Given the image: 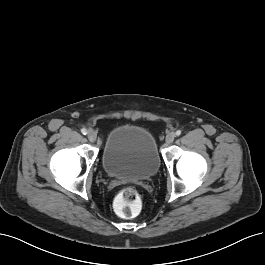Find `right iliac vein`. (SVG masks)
Masks as SVG:
<instances>
[{
  "label": "right iliac vein",
  "instance_id": "right-iliac-vein-1",
  "mask_svg": "<svg viewBox=\"0 0 265 265\" xmlns=\"http://www.w3.org/2000/svg\"><path fill=\"white\" fill-rule=\"evenodd\" d=\"M87 137H88L90 142H95V140L97 138V135H96V133L93 130H89L87 132Z\"/></svg>",
  "mask_w": 265,
  "mask_h": 265
}]
</instances>
